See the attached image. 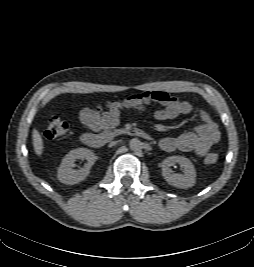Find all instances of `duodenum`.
Masks as SVG:
<instances>
[{
    "label": "duodenum",
    "instance_id": "1",
    "mask_svg": "<svg viewBox=\"0 0 254 267\" xmlns=\"http://www.w3.org/2000/svg\"><path fill=\"white\" fill-rule=\"evenodd\" d=\"M125 134L131 135V136H136V137H141L144 139H149L150 136L148 133L143 131L140 128H135V127H130L126 128L123 131ZM118 133L117 132H112V131H106L103 133H85L82 135V142L86 144L87 146L93 147V148H101L103 147L108 140L114 138Z\"/></svg>",
    "mask_w": 254,
    "mask_h": 267
}]
</instances>
